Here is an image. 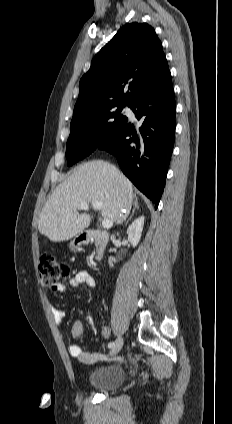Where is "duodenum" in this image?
<instances>
[{"label": "duodenum", "mask_w": 232, "mask_h": 424, "mask_svg": "<svg viewBox=\"0 0 232 424\" xmlns=\"http://www.w3.org/2000/svg\"><path fill=\"white\" fill-rule=\"evenodd\" d=\"M109 232L106 230L92 229L84 234V240L87 243H95V261L98 262L104 256L109 242Z\"/></svg>", "instance_id": "obj_1"}]
</instances>
